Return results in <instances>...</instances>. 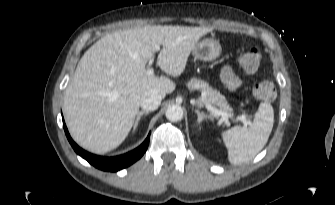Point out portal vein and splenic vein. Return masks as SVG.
I'll use <instances>...</instances> for the list:
<instances>
[{
    "instance_id": "18ae733b",
    "label": "portal vein and splenic vein",
    "mask_w": 335,
    "mask_h": 205,
    "mask_svg": "<svg viewBox=\"0 0 335 205\" xmlns=\"http://www.w3.org/2000/svg\"><path fill=\"white\" fill-rule=\"evenodd\" d=\"M156 50H160V47H156ZM146 74L148 76H152L154 74V69L152 67H149L146 71ZM206 109L208 111H210L214 116H220L222 121H224L227 125H229V119L231 118V115L227 114L226 112L217 109L216 107L212 106L211 104H206L205 105ZM237 120L241 121L244 123L245 126L250 125L251 122L250 120L247 118V116L245 114L238 116Z\"/></svg>"
}]
</instances>
